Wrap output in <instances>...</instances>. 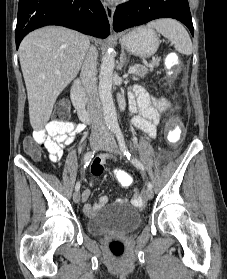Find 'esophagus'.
I'll list each match as a JSON object with an SVG mask.
<instances>
[{
	"label": "esophagus",
	"mask_w": 227,
	"mask_h": 279,
	"mask_svg": "<svg viewBox=\"0 0 227 279\" xmlns=\"http://www.w3.org/2000/svg\"><path fill=\"white\" fill-rule=\"evenodd\" d=\"M103 6L107 15V18L110 22V24H113V18H114V7L109 2H103Z\"/></svg>",
	"instance_id": "34e87169"
}]
</instances>
